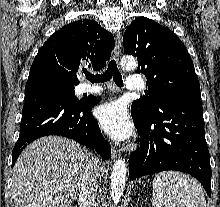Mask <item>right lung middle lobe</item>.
I'll use <instances>...</instances> for the list:
<instances>
[{
    "mask_svg": "<svg viewBox=\"0 0 220 207\" xmlns=\"http://www.w3.org/2000/svg\"><path fill=\"white\" fill-rule=\"evenodd\" d=\"M47 80L49 82H51L52 84H56V85H61L67 92L69 95H71L75 100H79L76 96H75V92H74V86L76 84H70V83H66L57 79H44Z\"/></svg>",
    "mask_w": 220,
    "mask_h": 207,
    "instance_id": "dd1d6c3e",
    "label": "right lung middle lobe"
}]
</instances>
